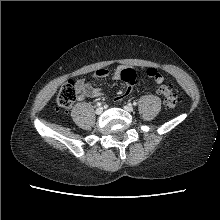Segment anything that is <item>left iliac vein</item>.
Masks as SVG:
<instances>
[{"label":"left iliac vein","mask_w":220,"mask_h":220,"mask_svg":"<svg viewBox=\"0 0 220 220\" xmlns=\"http://www.w3.org/2000/svg\"><path fill=\"white\" fill-rule=\"evenodd\" d=\"M124 109L127 111V112H133L134 108L132 105L128 104V105H125L124 106Z\"/></svg>","instance_id":"4c4485c4"}]
</instances>
